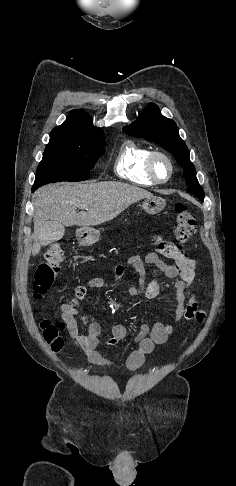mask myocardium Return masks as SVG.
<instances>
[{
  "instance_id": "obj_1",
  "label": "myocardium",
  "mask_w": 236,
  "mask_h": 486,
  "mask_svg": "<svg viewBox=\"0 0 236 486\" xmlns=\"http://www.w3.org/2000/svg\"><path fill=\"white\" fill-rule=\"evenodd\" d=\"M157 158L164 159L169 166L168 176L164 179L159 178L155 173L154 163H155V160ZM145 170H146L147 176L150 178V180L153 183L164 184L172 178L173 173H174V164H173L171 157L167 153H165L163 151L155 150V151H151L150 154L148 155V157L146 159V163H145Z\"/></svg>"
}]
</instances>
